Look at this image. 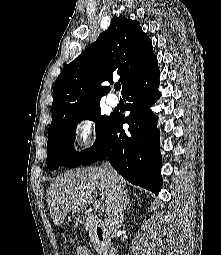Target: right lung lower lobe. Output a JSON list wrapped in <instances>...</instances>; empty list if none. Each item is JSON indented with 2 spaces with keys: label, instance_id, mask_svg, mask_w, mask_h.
Here are the masks:
<instances>
[{
  "label": "right lung lower lobe",
  "instance_id": "1",
  "mask_svg": "<svg viewBox=\"0 0 221 255\" xmlns=\"http://www.w3.org/2000/svg\"><path fill=\"white\" fill-rule=\"evenodd\" d=\"M159 75L155 57L122 93L129 102V116L113 115L98 144L81 164L86 166L108 158L126 180L156 195L162 185L160 132L157 128L158 117L150 107L161 96ZM123 123L129 124L127 132L122 128Z\"/></svg>",
  "mask_w": 221,
  "mask_h": 255
}]
</instances>
